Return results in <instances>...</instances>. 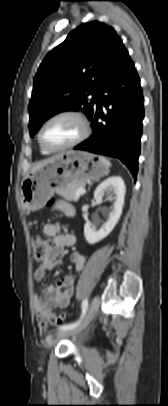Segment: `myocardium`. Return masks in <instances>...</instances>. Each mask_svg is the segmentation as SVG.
<instances>
[{"label": "myocardium", "instance_id": "myocardium-1", "mask_svg": "<svg viewBox=\"0 0 168 406\" xmlns=\"http://www.w3.org/2000/svg\"><path fill=\"white\" fill-rule=\"evenodd\" d=\"M62 117H72V118L76 119L81 126V132L76 139H74L72 142H70L64 146H58V147L50 146V145L46 144L44 141L43 131L50 122H52L58 118H62ZM89 134H90V125H89V122H88L86 116L83 113H81L80 111L73 110V109H67V110H62V111H59V112L53 114L43 123V125L41 126V128L38 132V142H39L40 146L43 147L45 150L50 151V152H57V151L67 150V149H70V148H73V147L79 145L85 139H87Z\"/></svg>", "mask_w": 168, "mask_h": 406}]
</instances>
